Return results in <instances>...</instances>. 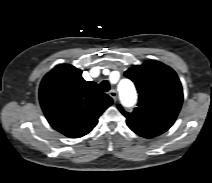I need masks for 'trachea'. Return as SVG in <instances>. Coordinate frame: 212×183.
Instances as JSON below:
<instances>
[{"label": "trachea", "mask_w": 212, "mask_h": 183, "mask_svg": "<svg viewBox=\"0 0 212 183\" xmlns=\"http://www.w3.org/2000/svg\"><path fill=\"white\" fill-rule=\"evenodd\" d=\"M100 87L104 92H108L110 90V84L107 80H104L100 83Z\"/></svg>", "instance_id": "obj_1"}]
</instances>
